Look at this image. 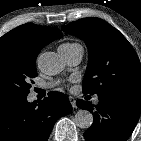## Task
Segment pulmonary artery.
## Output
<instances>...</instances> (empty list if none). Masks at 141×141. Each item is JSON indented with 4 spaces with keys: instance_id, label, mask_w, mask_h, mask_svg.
<instances>
[{
    "instance_id": "1",
    "label": "pulmonary artery",
    "mask_w": 141,
    "mask_h": 141,
    "mask_svg": "<svg viewBox=\"0 0 141 141\" xmlns=\"http://www.w3.org/2000/svg\"><path fill=\"white\" fill-rule=\"evenodd\" d=\"M58 52L65 59V61L70 65H77L83 56V48L81 45L77 44L71 47L60 46ZM57 84V82H48L43 85L44 88H52ZM94 103H98V97L93 99Z\"/></svg>"
}]
</instances>
